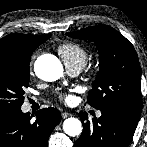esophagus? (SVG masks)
<instances>
[{"label": "esophagus", "instance_id": "34e87169", "mask_svg": "<svg viewBox=\"0 0 147 147\" xmlns=\"http://www.w3.org/2000/svg\"><path fill=\"white\" fill-rule=\"evenodd\" d=\"M61 116L63 119H65V118L71 116V114L69 112H62Z\"/></svg>", "mask_w": 147, "mask_h": 147}]
</instances>
